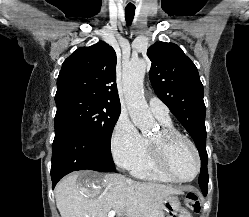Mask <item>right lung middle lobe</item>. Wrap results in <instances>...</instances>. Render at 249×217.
I'll return each instance as SVG.
<instances>
[{"label": "right lung middle lobe", "mask_w": 249, "mask_h": 217, "mask_svg": "<svg viewBox=\"0 0 249 217\" xmlns=\"http://www.w3.org/2000/svg\"><path fill=\"white\" fill-rule=\"evenodd\" d=\"M55 102V120L69 121L88 137L110 150L111 135L121 106L78 94L55 97Z\"/></svg>", "instance_id": "right-lung-middle-lobe-1"}]
</instances>
